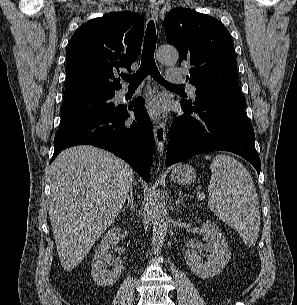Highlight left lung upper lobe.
<instances>
[{"label": "left lung upper lobe", "instance_id": "obj_1", "mask_svg": "<svg viewBox=\"0 0 297 305\" xmlns=\"http://www.w3.org/2000/svg\"><path fill=\"white\" fill-rule=\"evenodd\" d=\"M167 42L179 51V65L190 66L187 80L196 95L237 83L236 58L230 33L214 17L176 8L164 19Z\"/></svg>", "mask_w": 297, "mask_h": 305}]
</instances>
